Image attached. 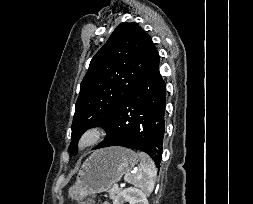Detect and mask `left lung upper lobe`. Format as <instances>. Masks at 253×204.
Here are the masks:
<instances>
[{
    "mask_svg": "<svg viewBox=\"0 0 253 204\" xmlns=\"http://www.w3.org/2000/svg\"><path fill=\"white\" fill-rule=\"evenodd\" d=\"M156 48L137 23L117 26L96 53L80 84L75 105L69 151L76 155L82 133L95 126L106 128L146 71Z\"/></svg>",
    "mask_w": 253,
    "mask_h": 204,
    "instance_id": "5c2ea615",
    "label": "left lung upper lobe"
}]
</instances>
